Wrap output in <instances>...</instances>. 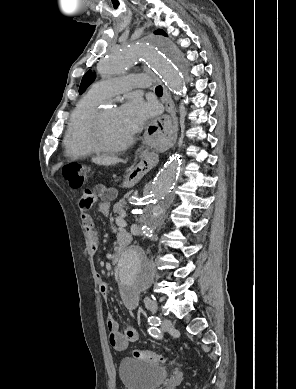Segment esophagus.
Masks as SVG:
<instances>
[{
	"label": "esophagus",
	"mask_w": 296,
	"mask_h": 389,
	"mask_svg": "<svg viewBox=\"0 0 296 389\" xmlns=\"http://www.w3.org/2000/svg\"><path fill=\"white\" fill-rule=\"evenodd\" d=\"M164 100L167 112H164V117L160 121L151 120L148 126L142 128V137L144 139H161L164 136V131H170L175 123L176 108L170 92L164 87ZM160 154L156 150L142 149L140 152L139 163L135 168L138 169H156Z\"/></svg>",
	"instance_id": "esophagus-1"
}]
</instances>
